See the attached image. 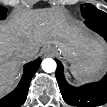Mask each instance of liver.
I'll return each instance as SVG.
<instances>
[{"label":"liver","mask_w":107,"mask_h":107,"mask_svg":"<svg viewBox=\"0 0 107 107\" xmlns=\"http://www.w3.org/2000/svg\"><path fill=\"white\" fill-rule=\"evenodd\" d=\"M65 42L73 46L80 45V52L75 59L82 62H95L99 57L106 56L104 43L81 34L62 10L15 11L6 23L0 25L1 94L13 89L23 62L29 60L21 55L22 50H31L36 56L44 45H63Z\"/></svg>","instance_id":"obj_1"}]
</instances>
